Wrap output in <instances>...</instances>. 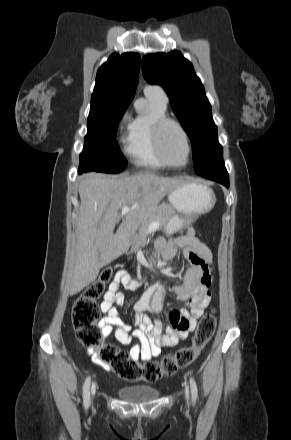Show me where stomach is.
<instances>
[{"label": "stomach", "mask_w": 291, "mask_h": 440, "mask_svg": "<svg viewBox=\"0 0 291 440\" xmlns=\"http://www.w3.org/2000/svg\"><path fill=\"white\" fill-rule=\"evenodd\" d=\"M171 206L181 215L194 217L209 212L215 205L216 196L207 185L183 181L168 193ZM184 223L180 216L172 217L166 226L167 233L177 231Z\"/></svg>", "instance_id": "obj_1"}]
</instances>
